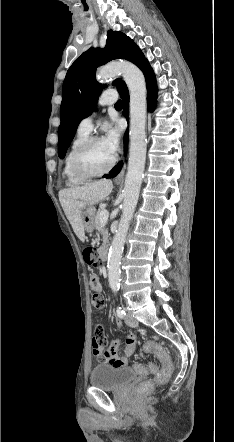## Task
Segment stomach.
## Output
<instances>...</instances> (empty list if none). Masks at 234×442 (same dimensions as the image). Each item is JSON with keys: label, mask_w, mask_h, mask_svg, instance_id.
I'll use <instances>...</instances> for the list:
<instances>
[{"label": "stomach", "mask_w": 234, "mask_h": 442, "mask_svg": "<svg viewBox=\"0 0 234 442\" xmlns=\"http://www.w3.org/2000/svg\"><path fill=\"white\" fill-rule=\"evenodd\" d=\"M95 215L96 209L93 205L82 208V225L87 232H92L95 229Z\"/></svg>", "instance_id": "stomach-1"}]
</instances>
